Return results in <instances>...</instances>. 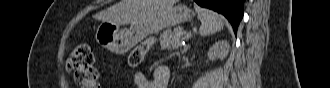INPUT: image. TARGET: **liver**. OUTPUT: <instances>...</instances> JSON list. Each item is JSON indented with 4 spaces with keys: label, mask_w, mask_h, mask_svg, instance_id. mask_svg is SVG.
Returning <instances> with one entry per match:
<instances>
[{
    "label": "liver",
    "mask_w": 330,
    "mask_h": 88,
    "mask_svg": "<svg viewBox=\"0 0 330 88\" xmlns=\"http://www.w3.org/2000/svg\"><path fill=\"white\" fill-rule=\"evenodd\" d=\"M175 3L176 0H121L104 11L101 19L115 24H133Z\"/></svg>",
    "instance_id": "obj_1"
}]
</instances>
